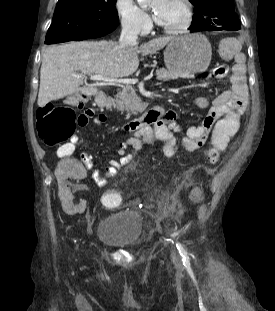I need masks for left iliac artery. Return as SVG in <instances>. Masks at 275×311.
I'll return each instance as SVG.
<instances>
[{"label":"left iliac artery","instance_id":"obj_1","mask_svg":"<svg viewBox=\"0 0 275 311\" xmlns=\"http://www.w3.org/2000/svg\"><path fill=\"white\" fill-rule=\"evenodd\" d=\"M176 247H177L180 255L182 256V260H183V264H184L189 259L187 256V252L179 242H176Z\"/></svg>","mask_w":275,"mask_h":311}]
</instances>
